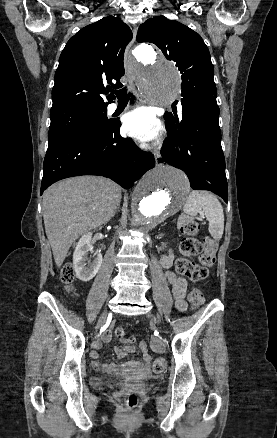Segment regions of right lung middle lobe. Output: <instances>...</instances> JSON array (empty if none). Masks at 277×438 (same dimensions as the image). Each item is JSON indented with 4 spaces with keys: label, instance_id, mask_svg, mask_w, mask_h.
Instances as JSON below:
<instances>
[{
    "label": "right lung middle lobe",
    "instance_id": "obj_1",
    "mask_svg": "<svg viewBox=\"0 0 277 438\" xmlns=\"http://www.w3.org/2000/svg\"><path fill=\"white\" fill-rule=\"evenodd\" d=\"M106 113L107 108H81L50 113L49 143L81 130L102 129L108 123Z\"/></svg>",
    "mask_w": 277,
    "mask_h": 438
}]
</instances>
